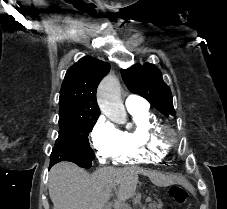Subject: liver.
<instances>
[{"label": "liver", "instance_id": "6515ba94", "mask_svg": "<svg viewBox=\"0 0 227 209\" xmlns=\"http://www.w3.org/2000/svg\"><path fill=\"white\" fill-rule=\"evenodd\" d=\"M138 173L153 175L139 167H104L89 175L77 165L64 161L49 171V197L54 209H103L115 185H120L123 199L135 191Z\"/></svg>", "mask_w": 227, "mask_h": 209}]
</instances>
